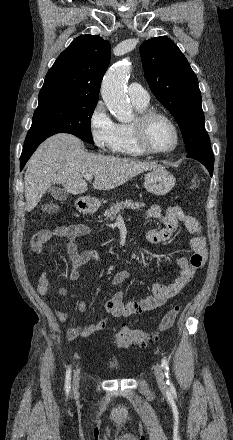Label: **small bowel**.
I'll list each match as a JSON object with an SVG mask.
<instances>
[{
	"label": "small bowel",
	"instance_id": "obj_1",
	"mask_svg": "<svg viewBox=\"0 0 233 440\" xmlns=\"http://www.w3.org/2000/svg\"><path fill=\"white\" fill-rule=\"evenodd\" d=\"M145 217L157 219L162 222V228L150 229L145 233L146 241L150 244H161L171 238L180 223L192 234L190 245L193 253L190 259L179 258L178 265L181 268L180 275L171 284L155 282L152 284V295L136 301H124L122 291H116L105 304V311L108 316L114 318H127L140 315L163 306L167 300L181 293L192 280L195 273L201 269L207 257V245L205 238L201 235V226L198 220L186 214L179 206H169L165 212L158 204L151 205L145 212ZM89 227L83 223H75L66 226H58L52 229H44L37 232L31 240V248L36 253H42L44 245L54 237L67 239L66 249L71 260V269L68 275L69 280L77 281L81 277V267L88 262L97 261L99 254L94 250L79 251L77 241L88 235ZM130 277L128 270H121L113 274L110 279L111 286H119ZM50 287L48 271L44 270L38 280L37 291L40 295H46ZM60 295H65L64 288L59 289ZM79 310L82 313L87 311L84 302L79 303ZM54 314L60 322L68 320V314L60 309L54 308ZM108 317L87 325H75L66 331L69 340L78 337H89L107 327Z\"/></svg>",
	"mask_w": 233,
	"mask_h": 440
}]
</instances>
